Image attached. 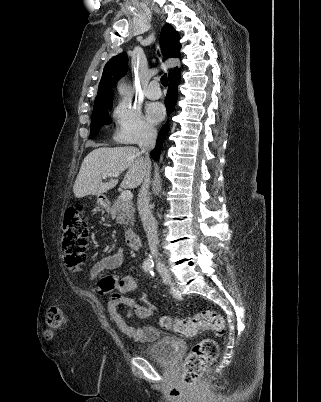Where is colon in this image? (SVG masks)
<instances>
[{
  "label": "colon",
  "mask_w": 321,
  "mask_h": 402,
  "mask_svg": "<svg viewBox=\"0 0 321 402\" xmlns=\"http://www.w3.org/2000/svg\"><path fill=\"white\" fill-rule=\"evenodd\" d=\"M88 240V223L81 207H68L64 213L62 225V248L65 264L71 271L80 269L85 260V250ZM119 294H113L111 301H119ZM66 317L60 307H51L47 312V336H53L65 323ZM161 326L183 334L195 335L201 329H210L216 335L225 332V321L215 311L203 310L192 318L170 319L164 317L160 321ZM218 346L213 339H204L194 345L191 352L185 358L182 367V381L187 385H193L208 366L216 360Z\"/></svg>",
  "instance_id": "1"
}]
</instances>
